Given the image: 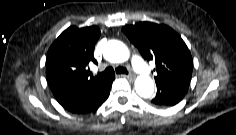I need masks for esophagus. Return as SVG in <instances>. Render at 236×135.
<instances>
[{"label":"esophagus","mask_w":236,"mask_h":135,"mask_svg":"<svg viewBox=\"0 0 236 135\" xmlns=\"http://www.w3.org/2000/svg\"><path fill=\"white\" fill-rule=\"evenodd\" d=\"M121 76H123V77H125V78H127V79H129V80H134V76L133 75H121Z\"/></svg>","instance_id":"1"}]
</instances>
